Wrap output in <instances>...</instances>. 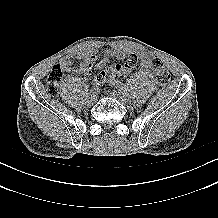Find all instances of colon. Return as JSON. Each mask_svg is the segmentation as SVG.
Masks as SVG:
<instances>
[{"label": "colon", "mask_w": 218, "mask_h": 218, "mask_svg": "<svg viewBox=\"0 0 218 218\" xmlns=\"http://www.w3.org/2000/svg\"><path fill=\"white\" fill-rule=\"evenodd\" d=\"M153 74L155 76V79L158 84V88L160 90H163L169 80H170V74L164 65V63L160 59H154L151 64ZM123 73V66L121 65H110L103 71H101L97 77L96 80L98 82H103L107 79L114 78L117 76H120ZM63 79V70L60 65H55L46 82V90L49 95L56 96L58 94L59 86Z\"/></svg>", "instance_id": "1"}]
</instances>
